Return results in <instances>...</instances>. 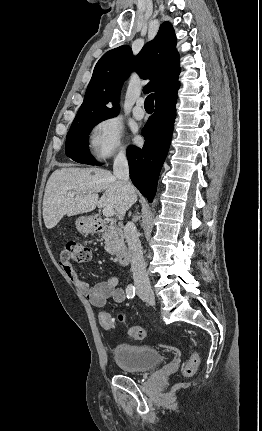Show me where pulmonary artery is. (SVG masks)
Returning <instances> with one entry per match:
<instances>
[{
    "instance_id": "1",
    "label": "pulmonary artery",
    "mask_w": 262,
    "mask_h": 431,
    "mask_svg": "<svg viewBox=\"0 0 262 431\" xmlns=\"http://www.w3.org/2000/svg\"><path fill=\"white\" fill-rule=\"evenodd\" d=\"M143 103L144 100L142 98H139L133 108V116L138 120H141L145 117V111L141 108V105Z\"/></svg>"
}]
</instances>
